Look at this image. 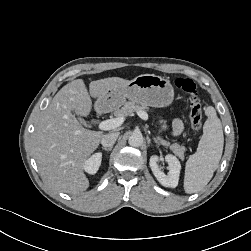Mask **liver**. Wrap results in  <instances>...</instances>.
Returning a JSON list of instances; mask_svg holds the SVG:
<instances>
[{
  "label": "liver",
  "instance_id": "6515ba94",
  "mask_svg": "<svg viewBox=\"0 0 251 251\" xmlns=\"http://www.w3.org/2000/svg\"><path fill=\"white\" fill-rule=\"evenodd\" d=\"M127 82L119 77L92 81L89 94L82 79L73 80L43 111L33 133L32 151L41 174L53 188L79 194L89 187L83 165L98 148L103 133L83 128L75 115L88 116L91 97L102 98L107 90Z\"/></svg>",
  "mask_w": 251,
  "mask_h": 251
}]
</instances>
